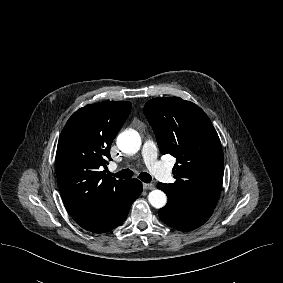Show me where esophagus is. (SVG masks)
Masks as SVG:
<instances>
[{
  "label": "esophagus",
  "mask_w": 283,
  "mask_h": 283,
  "mask_svg": "<svg viewBox=\"0 0 283 283\" xmlns=\"http://www.w3.org/2000/svg\"><path fill=\"white\" fill-rule=\"evenodd\" d=\"M143 188H144V190H152V189H154V184L144 183Z\"/></svg>",
  "instance_id": "esophagus-1"
}]
</instances>
